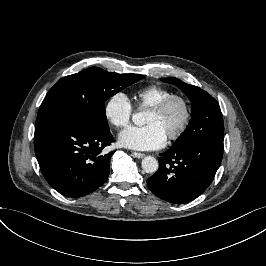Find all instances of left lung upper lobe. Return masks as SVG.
Segmentation results:
<instances>
[{
  "label": "left lung upper lobe",
  "instance_id": "obj_1",
  "mask_svg": "<svg viewBox=\"0 0 266 266\" xmlns=\"http://www.w3.org/2000/svg\"><path fill=\"white\" fill-rule=\"evenodd\" d=\"M163 82L175 84L192 103L191 121L173 148H182L203 139L224 140L223 116L218 102L206 91L175 78H161Z\"/></svg>",
  "mask_w": 266,
  "mask_h": 266
}]
</instances>
